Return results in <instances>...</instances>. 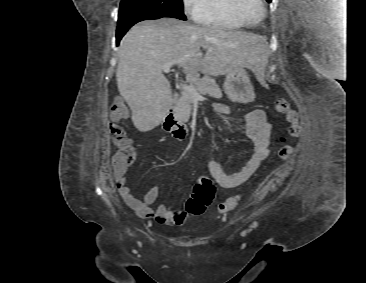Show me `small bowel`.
I'll return each instance as SVG.
<instances>
[{
    "instance_id": "obj_1",
    "label": "small bowel",
    "mask_w": 366,
    "mask_h": 283,
    "mask_svg": "<svg viewBox=\"0 0 366 283\" xmlns=\"http://www.w3.org/2000/svg\"><path fill=\"white\" fill-rule=\"evenodd\" d=\"M213 108L218 114L228 112L226 105L221 102H215ZM244 125L246 135L253 142V151L241 168L234 173H227L219 162L211 160L207 163L212 178L220 187L234 188L243 185L269 155L271 126L267 121L266 112L263 109L250 111L244 117ZM112 168L119 194L139 216L153 218L166 225H181L185 221L186 213L183 211H173L163 205L155 210L150 207L158 197V185L150 187L144 198L138 199L127 186V167L119 166L113 157Z\"/></svg>"
}]
</instances>
